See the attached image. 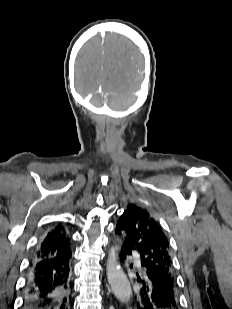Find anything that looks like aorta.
Here are the masks:
<instances>
[{
	"instance_id": "aorta-1",
	"label": "aorta",
	"mask_w": 232,
	"mask_h": 309,
	"mask_svg": "<svg viewBox=\"0 0 232 309\" xmlns=\"http://www.w3.org/2000/svg\"><path fill=\"white\" fill-rule=\"evenodd\" d=\"M107 279L114 295L122 302L128 301L132 295L130 283L120 268L115 249L113 248L107 259Z\"/></svg>"
}]
</instances>
